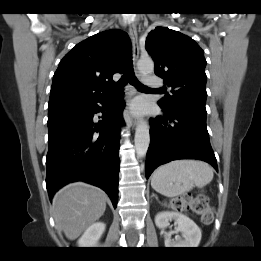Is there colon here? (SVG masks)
Returning a JSON list of instances; mask_svg holds the SVG:
<instances>
[{
  "instance_id": "1",
  "label": "colon",
  "mask_w": 261,
  "mask_h": 261,
  "mask_svg": "<svg viewBox=\"0 0 261 261\" xmlns=\"http://www.w3.org/2000/svg\"><path fill=\"white\" fill-rule=\"evenodd\" d=\"M168 207L173 210L191 209L194 213L201 217L203 223L208 224L213 220V212L208 203V198L204 194L195 196L184 195L173 197L167 202Z\"/></svg>"
}]
</instances>
